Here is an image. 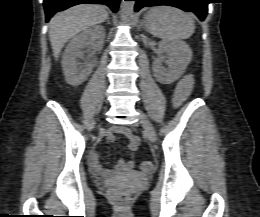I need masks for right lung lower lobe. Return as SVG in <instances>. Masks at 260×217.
I'll return each mask as SVG.
<instances>
[{
	"instance_id": "1",
	"label": "right lung lower lobe",
	"mask_w": 260,
	"mask_h": 217,
	"mask_svg": "<svg viewBox=\"0 0 260 217\" xmlns=\"http://www.w3.org/2000/svg\"><path fill=\"white\" fill-rule=\"evenodd\" d=\"M120 0H44V8L46 13V22L58 11H63L77 4H104L109 6L113 12H116Z\"/></svg>"
}]
</instances>
